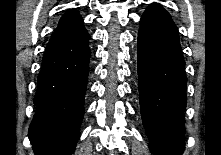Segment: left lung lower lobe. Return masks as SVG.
Returning a JSON list of instances; mask_svg holds the SVG:
<instances>
[{
  "label": "left lung lower lobe",
  "mask_w": 221,
  "mask_h": 155,
  "mask_svg": "<svg viewBox=\"0 0 221 155\" xmlns=\"http://www.w3.org/2000/svg\"><path fill=\"white\" fill-rule=\"evenodd\" d=\"M141 115L153 155H182L186 107L185 61L178 29L158 3L150 4L138 32Z\"/></svg>",
  "instance_id": "0a47b994"
}]
</instances>
